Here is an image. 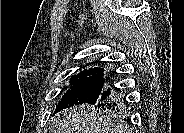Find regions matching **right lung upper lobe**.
Segmentation results:
<instances>
[{
  "label": "right lung upper lobe",
  "mask_w": 184,
  "mask_h": 133,
  "mask_svg": "<svg viewBox=\"0 0 184 133\" xmlns=\"http://www.w3.org/2000/svg\"><path fill=\"white\" fill-rule=\"evenodd\" d=\"M95 65H97V64H95ZM93 66L89 69L80 70V72L76 75H73L72 78H86V77H91V76H95V75H103L104 68L93 67Z\"/></svg>",
  "instance_id": "right-lung-upper-lobe-1"
}]
</instances>
